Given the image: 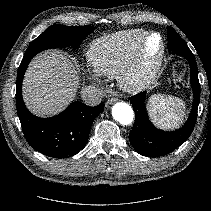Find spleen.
Masks as SVG:
<instances>
[{
  "label": "spleen",
  "instance_id": "spleen-1",
  "mask_svg": "<svg viewBox=\"0 0 211 211\" xmlns=\"http://www.w3.org/2000/svg\"><path fill=\"white\" fill-rule=\"evenodd\" d=\"M185 103L178 97L153 95L148 100V112L152 121L160 128L178 127L184 118Z\"/></svg>",
  "mask_w": 211,
  "mask_h": 211
}]
</instances>
